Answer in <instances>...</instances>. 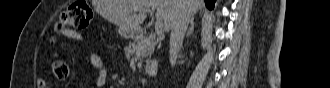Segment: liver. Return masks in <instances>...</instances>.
I'll return each instance as SVG.
<instances>
[{
    "label": "liver",
    "instance_id": "6515ba94",
    "mask_svg": "<svg viewBox=\"0 0 330 88\" xmlns=\"http://www.w3.org/2000/svg\"><path fill=\"white\" fill-rule=\"evenodd\" d=\"M93 4L100 15L119 27L121 35L128 37L146 19L140 9H156V21H163L165 31H170L181 9L189 7L196 13L204 3L203 0H93ZM134 9L140 13L136 14Z\"/></svg>",
    "mask_w": 330,
    "mask_h": 88
}]
</instances>
